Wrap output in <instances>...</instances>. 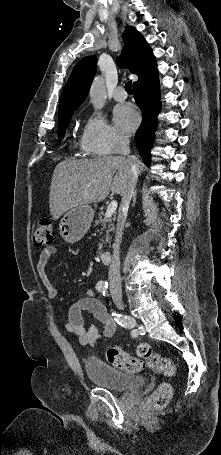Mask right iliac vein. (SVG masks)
<instances>
[{"mask_svg": "<svg viewBox=\"0 0 221 455\" xmlns=\"http://www.w3.org/2000/svg\"><path fill=\"white\" fill-rule=\"evenodd\" d=\"M115 300L122 302V298L118 296H115Z\"/></svg>", "mask_w": 221, "mask_h": 455, "instance_id": "right-iliac-vein-1", "label": "right iliac vein"}]
</instances>
